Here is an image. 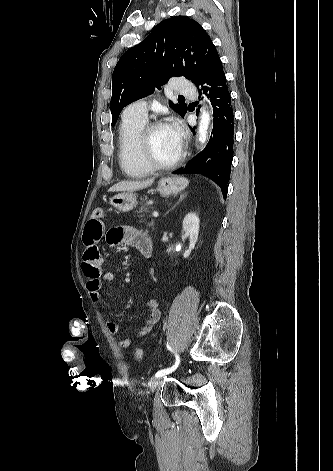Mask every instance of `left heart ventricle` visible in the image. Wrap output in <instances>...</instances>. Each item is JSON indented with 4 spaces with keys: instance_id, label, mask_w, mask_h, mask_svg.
<instances>
[{
    "instance_id": "left-heart-ventricle-1",
    "label": "left heart ventricle",
    "mask_w": 333,
    "mask_h": 471,
    "mask_svg": "<svg viewBox=\"0 0 333 471\" xmlns=\"http://www.w3.org/2000/svg\"><path fill=\"white\" fill-rule=\"evenodd\" d=\"M149 147L154 157L161 162H170L178 154V147L170 137L166 126H162L149 135Z\"/></svg>"
}]
</instances>
